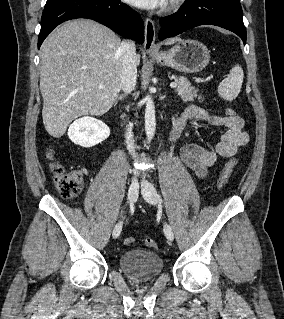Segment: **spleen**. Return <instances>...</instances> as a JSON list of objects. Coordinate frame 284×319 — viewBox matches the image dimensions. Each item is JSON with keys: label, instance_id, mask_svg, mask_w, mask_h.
<instances>
[{"label": "spleen", "instance_id": "obj_1", "mask_svg": "<svg viewBox=\"0 0 284 319\" xmlns=\"http://www.w3.org/2000/svg\"><path fill=\"white\" fill-rule=\"evenodd\" d=\"M243 69L237 64L231 70L228 76L220 82L218 86V94L221 98L232 101L240 93L243 83Z\"/></svg>", "mask_w": 284, "mask_h": 319}]
</instances>
